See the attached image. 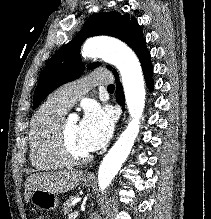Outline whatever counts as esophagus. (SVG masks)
I'll return each mask as SVG.
<instances>
[{"label":"esophagus","instance_id":"esophagus-1","mask_svg":"<svg viewBox=\"0 0 211 219\" xmlns=\"http://www.w3.org/2000/svg\"><path fill=\"white\" fill-rule=\"evenodd\" d=\"M125 119V113L123 114V121ZM89 176H92V174L90 173Z\"/></svg>","mask_w":211,"mask_h":219}]
</instances>
